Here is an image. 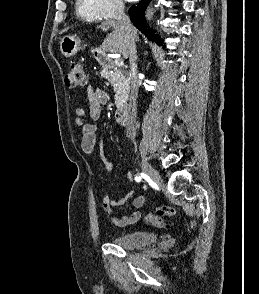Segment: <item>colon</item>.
<instances>
[{
    "label": "colon",
    "mask_w": 259,
    "mask_h": 294,
    "mask_svg": "<svg viewBox=\"0 0 259 294\" xmlns=\"http://www.w3.org/2000/svg\"><path fill=\"white\" fill-rule=\"evenodd\" d=\"M88 77L81 61H73L70 63L69 71L65 76V84L69 88L83 87L87 84ZM175 209L171 206H160L150 211L145 221L153 227H163L165 225L164 217L173 216Z\"/></svg>",
    "instance_id": "colon-1"
}]
</instances>
